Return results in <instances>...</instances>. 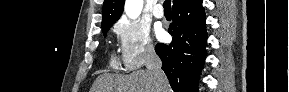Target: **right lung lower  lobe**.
<instances>
[{
  "instance_id": "98d812e1",
  "label": "right lung lower lobe",
  "mask_w": 289,
  "mask_h": 92,
  "mask_svg": "<svg viewBox=\"0 0 289 92\" xmlns=\"http://www.w3.org/2000/svg\"><path fill=\"white\" fill-rule=\"evenodd\" d=\"M173 22L168 32L170 45L155 47L174 92H197L198 75L206 57V17L202 0L172 9Z\"/></svg>"
}]
</instances>
